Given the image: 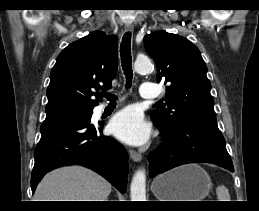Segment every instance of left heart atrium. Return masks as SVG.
<instances>
[{"label": "left heart atrium", "instance_id": "obj_1", "mask_svg": "<svg viewBox=\"0 0 259 211\" xmlns=\"http://www.w3.org/2000/svg\"><path fill=\"white\" fill-rule=\"evenodd\" d=\"M109 128L119 140L130 145H142L150 136V125L142 113L134 107H128L113 116Z\"/></svg>", "mask_w": 259, "mask_h": 211}]
</instances>
